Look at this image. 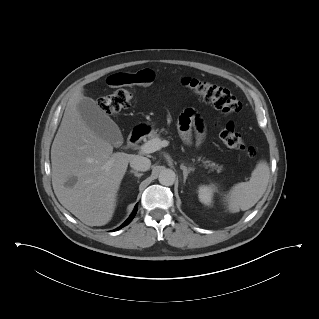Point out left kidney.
<instances>
[{"label":"left kidney","instance_id":"obj_1","mask_svg":"<svg viewBox=\"0 0 319 319\" xmlns=\"http://www.w3.org/2000/svg\"><path fill=\"white\" fill-rule=\"evenodd\" d=\"M215 187L213 185H201L198 188V197L201 203L211 205Z\"/></svg>","mask_w":319,"mask_h":319}]
</instances>
